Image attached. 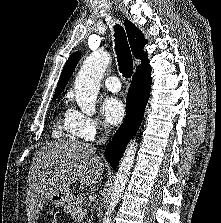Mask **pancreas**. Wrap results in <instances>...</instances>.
<instances>
[{
	"instance_id": "obj_1",
	"label": "pancreas",
	"mask_w": 221,
	"mask_h": 223,
	"mask_svg": "<svg viewBox=\"0 0 221 223\" xmlns=\"http://www.w3.org/2000/svg\"><path fill=\"white\" fill-rule=\"evenodd\" d=\"M82 204L83 201L81 196H71V198L64 205V210L75 220L80 221L87 214V210L82 207Z\"/></svg>"
}]
</instances>
